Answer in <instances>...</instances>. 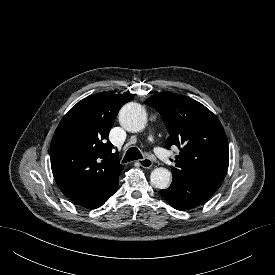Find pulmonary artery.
<instances>
[{"label": "pulmonary artery", "instance_id": "1", "mask_svg": "<svg viewBox=\"0 0 275 275\" xmlns=\"http://www.w3.org/2000/svg\"><path fill=\"white\" fill-rule=\"evenodd\" d=\"M162 157H163V158H167L168 155H167V154H163Z\"/></svg>", "mask_w": 275, "mask_h": 275}]
</instances>
